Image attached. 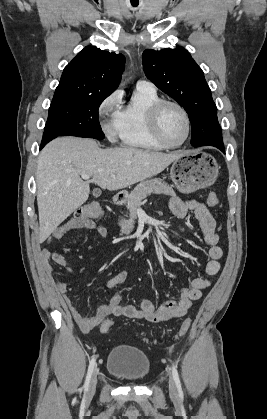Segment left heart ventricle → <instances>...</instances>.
<instances>
[{
	"instance_id": "obj_1",
	"label": "left heart ventricle",
	"mask_w": 267,
	"mask_h": 419,
	"mask_svg": "<svg viewBox=\"0 0 267 419\" xmlns=\"http://www.w3.org/2000/svg\"><path fill=\"white\" fill-rule=\"evenodd\" d=\"M160 130L165 140L172 144L181 142L186 133V124L181 112L174 106H165L160 115Z\"/></svg>"
}]
</instances>
